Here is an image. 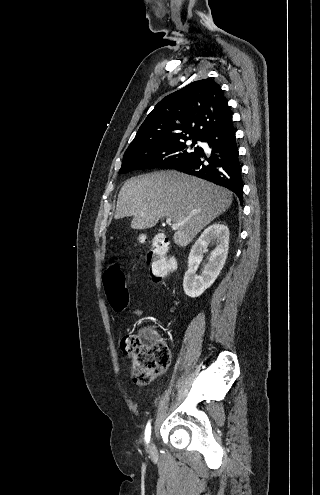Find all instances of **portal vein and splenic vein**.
<instances>
[{"mask_svg": "<svg viewBox=\"0 0 320 495\" xmlns=\"http://www.w3.org/2000/svg\"><path fill=\"white\" fill-rule=\"evenodd\" d=\"M171 221H172V219H171L170 217H167V218H166V222H167L168 224H171ZM176 228H177V226H176V225H172V229H176Z\"/></svg>", "mask_w": 320, "mask_h": 495, "instance_id": "portal-vein-and-splenic-vein-1", "label": "portal vein and splenic vein"}]
</instances>
